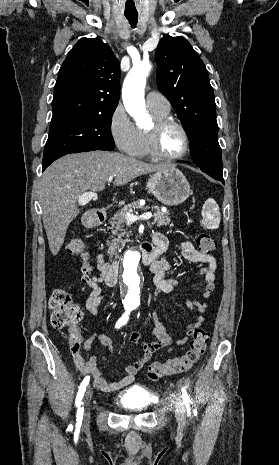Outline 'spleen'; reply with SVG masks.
<instances>
[{"mask_svg":"<svg viewBox=\"0 0 279 465\" xmlns=\"http://www.w3.org/2000/svg\"><path fill=\"white\" fill-rule=\"evenodd\" d=\"M202 224L207 229H217L220 224V210L214 199L209 198L205 201L202 208Z\"/></svg>","mask_w":279,"mask_h":465,"instance_id":"1","label":"spleen"}]
</instances>
